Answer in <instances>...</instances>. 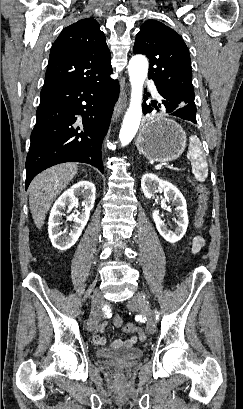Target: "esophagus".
Wrapping results in <instances>:
<instances>
[{"label":"esophagus","mask_w":243,"mask_h":409,"mask_svg":"<svg viewBox=\"0 0 243 409\" xmlns=\"http://www.w3.org/2000/svg\"><path fill=\"white\" fill-rule=\"evenodd\" d=\"M127 106V94L124 91L119 97L113 111V121H116Z\"/></svg>","instance_id":"obj_1"}]
</instances>
